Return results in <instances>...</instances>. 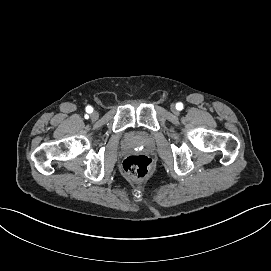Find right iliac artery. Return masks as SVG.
<instances>
[{
    "label": "right iliac artery",
    "mask_w": 271,
    "mask_h": 271,
    "mask_svg": "<svg viewBox=\"0 0 271 271\" xmlns=\"http://www.w3.org/2000/svg\"><path fill=\"white\" fill-rule=\"evenodd\" d=\"M93 111V108L91 106L86 107V112L91 113Z\"/></svg>",
    "instance_id": "82829eb1"
}]
</instances>
